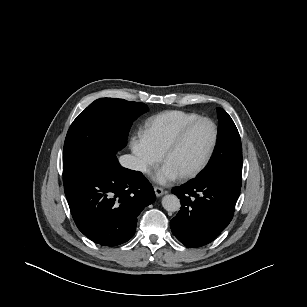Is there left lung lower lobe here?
Instances as JSON below:
<instances>
[{
  "label": "left lung lower lobe",
  "mask_w": 307,
  "mask_h": 307,
  "mask_svg": "<svg viewBox=\"0 0 307 307\" xmlns=\"http://www.w3.org/2000/svg\"><path fill=\"white\" fill-rule=\"evenodd\" d=\"M240 188L227 178L210 176L172 189L182 204L170 222L173 235L187 247L213 241L232 220Z\"/></svg>",
  "instance_id": "obj_1"
}]
</instances>
